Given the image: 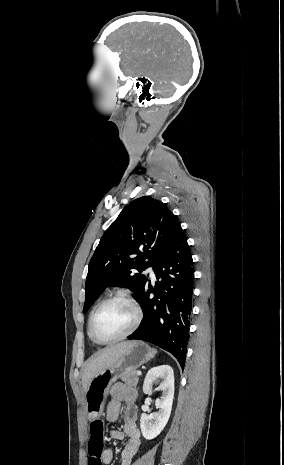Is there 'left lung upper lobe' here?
<instances>
[{
  "label": "left lung upper lobe",
  "mask_w": 284,
  "mask_h": 465,
  "mask_svg": "<svg viewBox=\"0 0 284 465\" xmlns=\"http://www.w3.org/2000/svg\"><path fill=\"white\" fill-rule=\"evenodd\" d=\"M180 223L159 200L143 196L130 202L102 236L89 263L86 278V312L108 286L128 287L138 300L146 276L173 243Z\"/></svg>",
  "instance_id": "1"
}]
</instances>
